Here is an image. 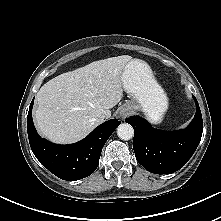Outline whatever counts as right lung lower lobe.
Listing matches in <instances>:
<instances>
[{"label":"right lung lower lobe","instance_id":"right-lung-lower-lobe-1","mask_svg":"<svg viewBox=\"0 0 221 221\" xmlns=\"http://www.w3.org/2000/svg\"><path fill=\"white\" fill-rule=\"evenodd\" d=\"M33 102L34 99L27 116V132L30 147L38 161L63 180L74 181L91 175L99 165L104 144L121 122L109 120L74 144H53L42 139L35 130L31 111Z\"/></svg>","mask_w":221,"mask_h":221}]
</instances>
